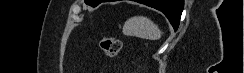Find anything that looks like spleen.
<instances>
[{
	"label": "spleen",
	"mask_w": 244,
	"mask_h": 73,
	"mask_svg": "<svg viewBox=\"0 0 244 73\" xmlns=\"http://www.w3.org/2000/svg\"><path fill=\"white\" fill-rule=\"evenodd\" d=\"M123 34L148 40H158L162 31L159 27L144 16H135L128 19L123 26Z\"/></svg>",
	"instance_id": "1"
}]
</instances>
